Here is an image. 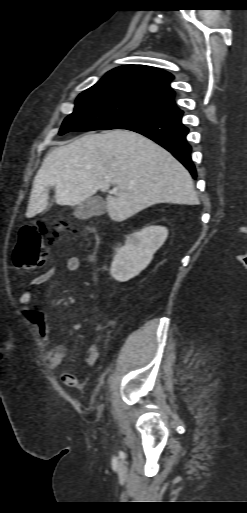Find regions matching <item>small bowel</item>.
Here are the masks:
<instances>
[{
    "mask_svg": "<svg viewBox=\"0 0 247 513\" xmlns=\"http://www.w3.org/2000/svg\"><path fill=\"white\" fill-rule=\"evenodd\" d=\"M65 268L68 272H77L80 268L79 257L75 255L67 257ZM55 271L56 268L54 266H50L46 271L34 278L30 282L29 286H39L47 282L54 275ZM32 297L33 293L30 289L24 290L18 298L19 307L26 315L28 321L34 326L41 340L50 345L45 358V363L49 368L56 369L63 363L67 350L62 344H51V331L48 318L43 312L32 308ZM99 355V349L95 345H90L86 351L85 364L90 367L94 366L99 359ZM62 380L66 386H83V382L79 381L75 375L69 372L63 374Z\"/></svg>",
    "mask_w": 247,
    "mask_h": 513,
    "instance_id": "small-bowel-1",
    "label": "small bowel"
}]
</instances>
